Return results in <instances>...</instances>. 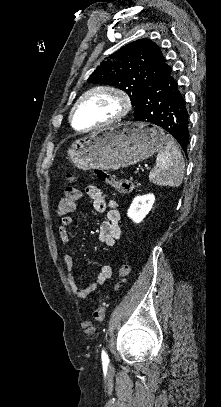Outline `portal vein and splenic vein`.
Returning a JSON list of instances; mask_svg holds the SVG:
<instances>
[{"mask_svg": "<svg viewBox=\"0 0 221 407\" xmlns=\"http://www.w3.org/2000/svg\"><path fill=\"white\" fill-rule=\"evenodd\" d=\"M149 169V167H146L145 169H142L141 171L142 172H145L146 170H148Z\"/></svg>", "mask_w": 221, "mask_h": 407, "instance_id": "portal-vein-and-splenic-vein-1", "label": "portal vein and splenic vein"}]
</instances>
